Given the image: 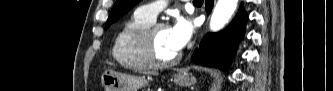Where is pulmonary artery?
Returning <instances> with one entry per match:
<instances>
[{"mask_svg": "<svg viewBox=\"0 0 333 91\" xmlns=\"http://www.w3.org/2000/svg\"><path fill=\"white\" fill-rule=\"evenodd\" d=\"M164 7L163 2H154L148 5L141 6L137 11L146 18L155 21L157 15Z\"/></svg>", "mask_w": 333, "mask_h": 91, "instance_id": "pulmonary-artery-1", "label": "pulmonary artery"}]
</instances>
